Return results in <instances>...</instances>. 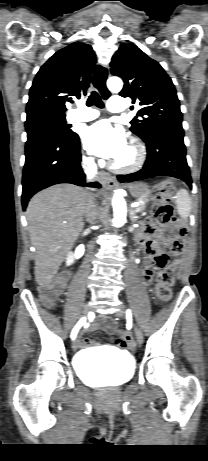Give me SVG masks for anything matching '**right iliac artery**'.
Instances as JSON below:
<instances>
[{
    "label": "right iliac artery",
    "instance_id": "82829eb1",
    "mask_svg": "<svg viewBox=\"0 0 208 461\" xmlns=\"http://www.w3.org/2000/svg\"><path fill=\"white\" fill-rule=\"evenodd\" d=\"M85 321H86V318H85V317H83V318H81V319L79 320V322L77 323V325L74 327V329H73L72 332H71V338H72V339H75V337H76V335H77V333H78L80 327L85 323Z\"/></svg>",
    "mask_w": 208,
    "mask_h": 461
}]
</instances>
